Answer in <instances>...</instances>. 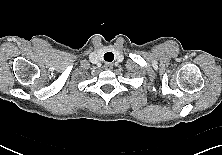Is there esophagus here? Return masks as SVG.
I'll list each match as a JSON object with an SVG mask.
<instances>
[{
  "mask_svg": "<svg viewBox=\"0 0 222 155\" xmlns=\"http://www.w3.org/2000/svg\"><path fill=\"white\" fill-rule=\"evenodd\" d=\"M104 68H105L106 70H111V69L113 68V64L110 63V62H106V63L104 64Z\"/></svg>",
  "mask_w": 222,
  "mask_h": 155,
  "instance_id": "34e87169",
  "label": "esophagus"
}]
</instances>
